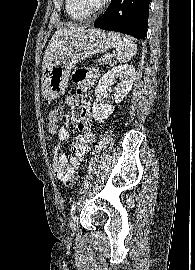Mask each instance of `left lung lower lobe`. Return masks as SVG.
Wrapping results in <instances>:
<instances>
[{"label": "left lung lower lobe", "instance_id": "obj_1", "mask_svg": "<svg viewBox=\"0 0 195 270\" xmlns=\"http://www.w3.org/2000/svg\"><path fill=\"white\" fill-rule=\"evenodd\" d=\"M150 1L112 0L105 13L94 22V27L144 39Z\"/></svg>", "mask_w": 195, "mask_h": 270}]
</instances>
